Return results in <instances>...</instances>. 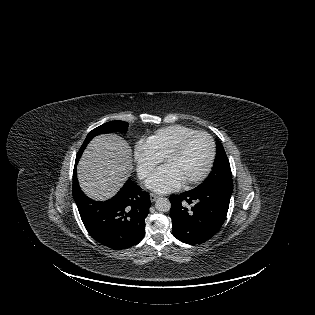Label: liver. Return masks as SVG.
I'll use <instances>...</instances> for the list:
<instances>
[{"mask_svg":"<svg viewBox=\"0 0 315 315\" xmlns=\"http://www.w3.org/2000/svg\"><path fill=\"white\" fill-rule=\"evenodd\" d=\"M132 169L128 143L117 135H99L90 142L79 162L78 180L89 197L106 200L122 187Z\"/></svg>","mask_w":315,"mask_h":315,"instance_id":"6515ba94","label":"liver"}]
</instances>
